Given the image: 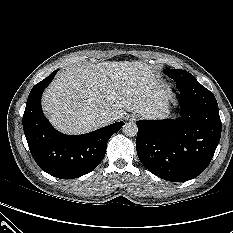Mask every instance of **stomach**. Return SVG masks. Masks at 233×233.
<instances>
[{
    "label": "stomach",
    "instance_id": "stomach-1",
    "mask_svg": "<svg viewBox=\"0 0 233 233\" xmlns=\"http://www.w3.org/2000/svg\"><path fill=\"white\" fill-rule=\"evenodd\" d=\"M167 112H168V102L166 103V105H165V107H164V110H163V112H162V116H161V117L166 116Z\"/></svg>",
    "mask_w": 233,
    "mask_h": 233
}]
</instances>
